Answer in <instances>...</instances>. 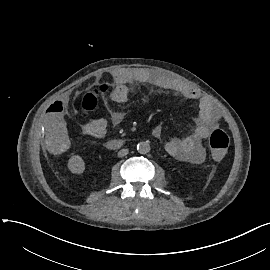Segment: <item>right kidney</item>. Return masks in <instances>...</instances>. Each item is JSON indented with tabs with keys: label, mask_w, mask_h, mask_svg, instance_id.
Instances as JSON below:
<instances>
[{
	"label": "right kidney",
	"mask_w": 270,
	"mask_h": 270,
	"mask_svg": "<svg viewBox=\"0 0 270 270\" xmlns=\"http://www.w3.org/2000/svg\"><path fill=\"white\" fill-rule=\"evenodd\" d=\"M68 168L72 173L80 174L84 171L85 164L80 156H72L68 161Z\"/></svg>",
	"instance_id": "ca27d5eb"
}]
</instances>
